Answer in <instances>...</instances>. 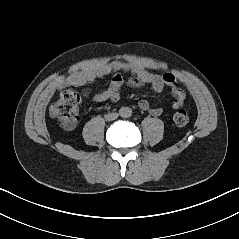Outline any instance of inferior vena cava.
Instances as JSON below:
<instances>
[{
    "label": "inferior vena cava",
    "instance_id": "1",
    "mask_svg": "<svg viewBox=\"0 0 239 239\" xmlns=\"http://www.w3.org/2000/svg\"><path fill=\"white\" fill-rule=\"evenodd\" d=\"M107 117H108V120H114L118 117V114L112 113V114L107 115Z\"/></svg>",
    "mask_w": 239,
    "mask_h": 239
}]
</instances>
